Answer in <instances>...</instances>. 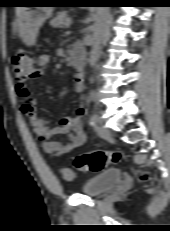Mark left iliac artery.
I'll list each match as a JSON object with an SVG mask.
<instances>
[{
	"label": "left iliac artery",
	"mask_w": 170,
	"mask_h": 231,
	"mask_svg": "<svg viewBox=\"0 0 170 231\" xmlns=\"http://www.w3.org/2000/svg\"><path fill=\"white\" fill-rule=\"evenodd\" d=\"M97 120H98L97 115H93V116L90 118V121H89L90 126H95L96 123H97Z\"/></svg>",
	"instance_id": "44dca946"
}]
</instances>
